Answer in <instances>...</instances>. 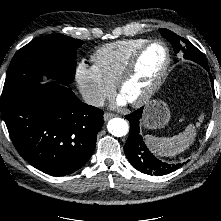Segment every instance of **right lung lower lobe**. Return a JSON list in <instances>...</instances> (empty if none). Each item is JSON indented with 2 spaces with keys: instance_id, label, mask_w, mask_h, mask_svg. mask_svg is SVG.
I'll list each match as a JSON object with an SVG mask.
<instances>
[{
  "instance_id": "98d812e1",
  "label": "right lung lower lobe",
  "mask_w": 221,
  "mask_h": 221,
  "mask_svg": "<svg viewBox=\"0 0 221 221\" xmlns=\"http://www.w3.org/2000/svg\"><path fill=\"white\" fill-rule=\"evenodd\" d=\"M3 115L19 154L40 171L71 174L87 163L104 112L80 101L59 82L2 94Z\"/></svg>"
}]
</instances>
